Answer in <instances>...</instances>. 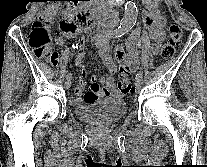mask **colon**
<instances>
[{"label": "colon", "instance_id": "colon-1", "mask_svg": "<svg viewBox=\"0 0 207 167\" xmlns=\"http://www.w3.org/2000/svg\"><path fill=\"white\" fill-rule=\"evenodd\" d=\"M59 1V0H58ZM55 5L47 7L40 17V21L33 25L29 34V45L35 56H43L48 58L53 64L59 62L58 53L52 49V42L50 37V25L54 20L56 13ZM79 21H84V15L80 16ZM76 26L71 21H62L61 35L73 32ZM183 33L178 25H171L168 31V39L161 50V58L163 61H169L173 58L176 48L180 46ZM117 88L122 94H128L133 91V84L128 76V73L120 68L119 81Z\"/></svg>", "mask_w": 207, "mask_h": 167}]
</instances>
